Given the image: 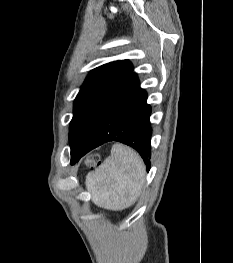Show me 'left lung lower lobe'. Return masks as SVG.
<instances>
[{"label": "left lung lower lobe", "mask_w": 233, "mask_h": 263, "mask_svg": "<svg viewBox=\"0 0 233 263\" xmlns=\"http://www.w3.org/2000/svg\"><path fill=\"white\" fill-rule=\"evenodd\" d=\"M146 100L147 94L133 73L99 117L86 144L71 146V164L92 149L114 140L138 151L149 171L152 130L151 107Z\"/></svg>", "instance_id": "obj_1"}]
</instances>
